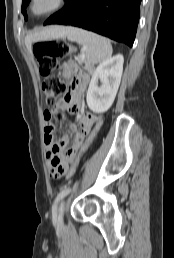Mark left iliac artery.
I'll return each instance as SVG.
<instances>
[{"instance_id": "left-iliac-artery-1", "label": "left iliac artery", "mask_w": 174, "mask_h": 258, "mask_svg": "<svg viewBox=\"0 0 174 258\" xmlns=\"http://www.w3.org/2000/svg\"><path fill=\"white\" fill-rule=\"evenodd\" d=\"M71 192V188L70 187H65L63 188L57 195L55 201H54V204H53V210H57V206H58V203L59 201L64 197L66 196L67 194H69Z\"/></svg>"}]
</instances>
